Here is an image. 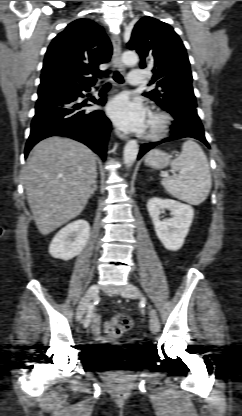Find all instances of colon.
<instances>
[{"mask_svg": "<svg viewBox=\"0 0 242 416\" xmlns=\"http://www.w3.org/2000/svg\"><path fill=\"white\" fill-rule=\"evenodd\" d=\"M132 327L131 318L125 313H117L106 322V331L110 336H120Z\"/></svg>", "mask_w": 242, "mask_h": 416, "instance_id": "colon-1", "label": "colon"}]
</instances>
